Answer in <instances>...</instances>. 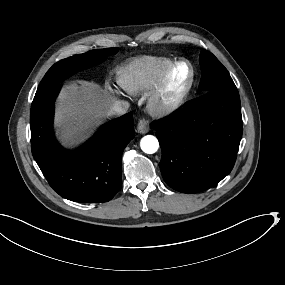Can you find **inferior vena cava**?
I'll return each instance as SVG.
<instances>
[{"mask_svg": "<svg viewBox=\"0 0 285 285\" xmlns=\"http://www.w3.org/2000/svg\"><path fill=\"white\" fill-rule=\"evenodd\" d=\"M129 103L127 101L118 100L108 111V116H121L127 112Z\"/></svg>", "mask_w": 285, "mask_h": 285, "instance_id": "obj_1", "label": "inferior vena cava"}]
</instances>
